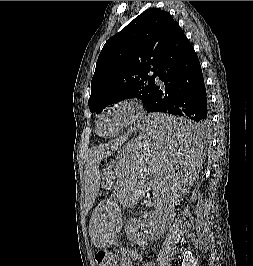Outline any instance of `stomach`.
<instances>
[{
	"label": "stomach",
	"instance_id": "0dacf381",
	"mask_svg": "<svg viewBox=\"0 0 253 266\" xmlns=\"http://www.w3.org/2000/svg\"><path fill=\"white\" fill-rule=\"evenodd\" d=\"M138 145H140V138L139 137L126 144V146L121 150L118 157L113 161V163L110 166H108V171L111 173V175L109 176L110 178L115 173V176L119 179L118 173H119V170H121V169L116 168V161L122 160L123 156H133V151L137 150ZM116 185H119V181L117 182ZM102 247H106V246H102Z\"/></svg>",
	"mask_w": 253,
	"mask_h": 266
}]
</instances>
